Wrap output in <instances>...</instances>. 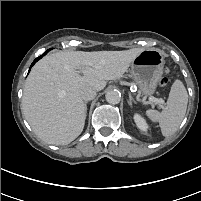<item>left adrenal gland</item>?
<instances>
[{"label": "left adrenal gland", "instance_id": "obj_1", "mask_svg": "<svg viewBox=\"0 0 201 201\" xmlns=\"http://www.w3.org/2000/svg\"><path fill=\"white\" fill-rule=\"evenodd\" d=\"M129 105L132 106V103H136V101L132 98L131 94H129Z\"/></svg>", "mask_w": 201, "mask_h": 201}]
</instances>
